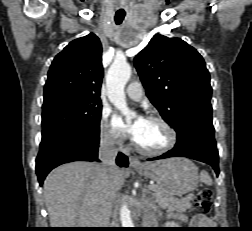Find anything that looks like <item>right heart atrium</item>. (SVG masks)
<instances>
[{
  "instance_id": "d8ad5b80",
  "label": "right heart atrium",
  "mask_w": 252,
  "mask_h": 231,
  "mask_svg": "<svg viewBox=\"0 0 252 231\" xmlns=\"http://www.w3.org/2000/svg\"><path fill=\"white\" fill-rule=\"evenodd\" d=\"M99 132L101 139L109 145L123 147L125 143V136L121 133L117 127L111 122L109 114L102 113Z\"/></svg>"
}]
</instances>
